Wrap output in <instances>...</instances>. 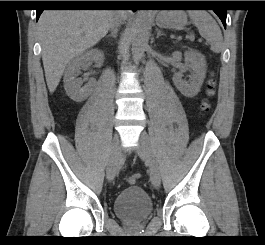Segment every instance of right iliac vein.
I'll return each mask as SVG.
<instances>
[{
	"label": "right iliac vein",
	"mask_w": 265,
	"mask_h": 245,
	"mask_svg": "<svg viewBox=\"0 0 265 245\" xmlns=\"http://www.w3.org/2000/svg\"><path fill=\"white\" fill-rule=\"evenodd\" d=\"M119 136L115 135L111 145L110 158L107 164V179L112 181L118 171L119 156H120V147H119Z\"/></svg>",
	"instance_id": "obj_1"
}]
</instances>
